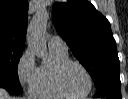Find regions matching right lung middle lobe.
<instances>
[{
	"label": "right lung middle lobe",
	"instance_id": "1",
	"mask_svg": "<svg viewBox=\"0 0 128 99\" xmlns=\"http://www.w3.org/2000/svg\"><path fill=\"white\" fill-rule=\"evenodd\" d=\"M22 50L0 49V87L14 93H22L19 84L17 66Z\"/></svg>",
	"mask_w": 128,
	"mask_h": 99
}]
</instances>
